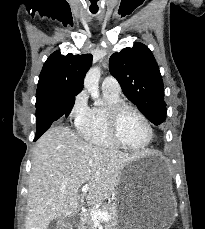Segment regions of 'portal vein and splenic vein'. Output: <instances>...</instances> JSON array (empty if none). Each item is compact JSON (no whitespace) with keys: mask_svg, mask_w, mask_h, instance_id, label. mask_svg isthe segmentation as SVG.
<instances>
[{"mask_svg":"<svg viewBox=\"0 0 205 229\" xmlns=\"http://www.w3.org/2000/svg\"><path fill=\"white\" fill-rule=\"evenodd\" d=\"M88 190H89L88 184L83 185L81 188L82 193H86ZM90 215L94 223H98L101 220L108 221L111 217L108 212H104V211H101L100 209H94V208L91 209Z\"/></svg>","mask_w":205,"mask_h":229,"instance_id":"1","label":"portal vein and splenic vein"}]
</instances>
